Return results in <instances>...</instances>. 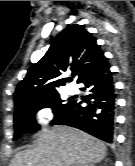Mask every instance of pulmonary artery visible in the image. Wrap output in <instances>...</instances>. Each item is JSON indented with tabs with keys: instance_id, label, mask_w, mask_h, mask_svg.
Listing matches in <instances>:
<instances>
[{
	"instance_id": "1",
	"label": "pulmonary artery",
	"mask_w": 135,
	"mask_h": 166,
	"mask_svg": "<svg viewBox=\"0 0 135 166\" xmlns=\"http://www.w3.org/2000/svg\"><path fill=\"white\" fill-rule=\"evenodd\" d=\"M76 91H77V89L72 87V88L69 89V94L73 95V94L76 93Z\"/></svg>"
}]
</instances>
